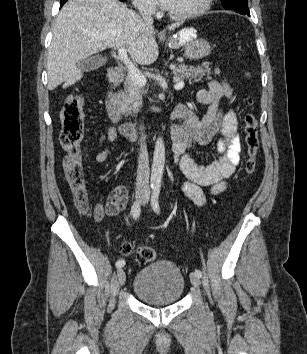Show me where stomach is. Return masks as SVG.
<instances>
[{
	"label": "stomach",
	"mask_w": 307,
	"mask_h": 354,
	"mask_svg": "<svg viewBox=\"0 0 307 354\" xmlns=\"http://www.w3.org/2000/svg\"><path fill=\"white\" fill-rule=\"evenodd\" d=\"M171 48L184 46V55L190 60H200L210 53V44L205 39L196 38L194 28H185L167 39Z\"/></svg>",
	"instance_id": "0dacf381"
}]
</instances>
